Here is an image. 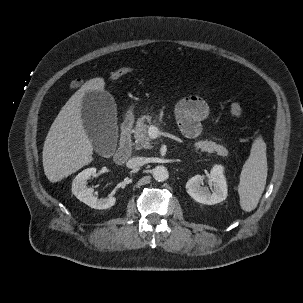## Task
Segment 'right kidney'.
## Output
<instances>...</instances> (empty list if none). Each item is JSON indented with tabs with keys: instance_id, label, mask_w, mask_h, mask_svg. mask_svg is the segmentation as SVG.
<instances>
[{
	"instance_id": "1",
	"label": "right kidney",
	"mask_w": 303,
	"mask_h": 303,
	"mask_svg": "<svg viewBox=\"0 0 303 303\" xmlns=\"http://www.w3.org/2000/svg\"><path fill=\"white\" fill-rule=\"evenodd\" d=\"M96 173V168H87L80 172L73 180L72 193L91 208L94 209H108L112 207L115 202V197L97 198L93 195V189L87 187V180Z\"/></svg>"
}]
</instances>
